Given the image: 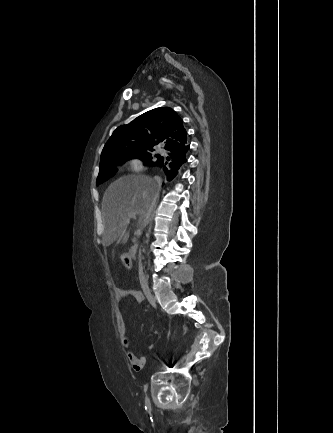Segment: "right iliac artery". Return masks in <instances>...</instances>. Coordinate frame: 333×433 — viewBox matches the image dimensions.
Masks as SVG:
<instances>
[{
    "mask_svg": "<svg viewBox=\"0 0 333 433\" xmlns=\"http://www.w3.org/2000/svg\"><path fill=\"white\" fill-rule=\"evenodd\" d=\"M146 389H147V385L145 386L144 390L146 391ZM145 405H146L145 408H150V406H151L150 399L147 396L145 398Z\"/></svg>",
    "mask_w": 333,
    "mask_h": 433,
    "instance_id": "obj_1",
    "label": "right iliac artery"
}]
</instances>
